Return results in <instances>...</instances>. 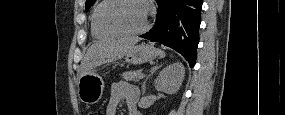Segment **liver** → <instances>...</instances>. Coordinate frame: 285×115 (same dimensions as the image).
<instances>
[{
    "mask_svg": "<svg viewBox=\"0 0 285 115\" xmlns=\"http://www.w3.org/2000/svg\"><path fill=\"white\" fill-rule=\"evenodd\" d=\"M138 38H121L91 45L82 62L80 77L94 70L96 67L120 59L135 46Z\"/></svg>",
    "mask_w": 285,
    "mask_h": 115,
    "instance_id": "obj_1",
    "label": "liver"
}]
</instances>
